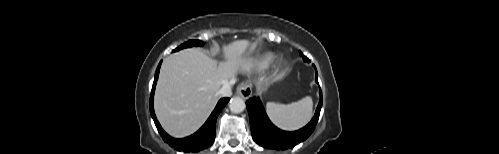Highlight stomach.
I'll return each instance as SVG.
<instances>
[{"label":"stomach","mask_w":499,"mask_h":154,"mask_svg":"<svg viewBox=\"0 0 499 154\" xmlns=\"http://www.w3.org/2000/svg\"><path fill=\"white\" fill-rule=\"evenodd\" d=\"M257 90H258L259 92H263V91H265V90H266V88H265L263 85H258V86H257Z\"/></svg>","instance_id":"stomach-1"}]
</instances>
